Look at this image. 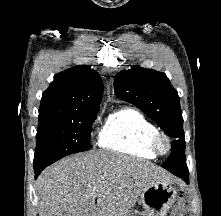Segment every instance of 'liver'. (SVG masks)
<instances>
[{
  "label": "liver",
  "mask_w": 221,
  "mask_h": 216,
  "mask_svg": "<svg viewBox=\"0 0 221 216\" xmlns=\"http://www.w3.org/2000/svg\"><path fill=\"white\" fill-rule=\"evenodd\" d=\"M169 179L162 168L133 157L103 151L77 154L38 177L39 216H127L149 183Z\"/></svg>",
  "instance_id": "liver-1"
}]
</instances>
